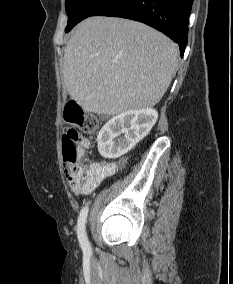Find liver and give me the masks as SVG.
<instances>
[{"label": "liver", "instance_id": "1", "mask_svg": "<svg viewBox=\"0 0 233 284\" xmlns=\"http://www.w3.org/2000/svg\"><path fill=\"white\" fill-rule=\"evenodd\" d=\"M178 61V45L153 28L90 17L66 43L62 74L69 95L85 111L111 116L155 106Z\"/></svg>", "mask_w": 233, "mask_h": 284}]
</instances>
